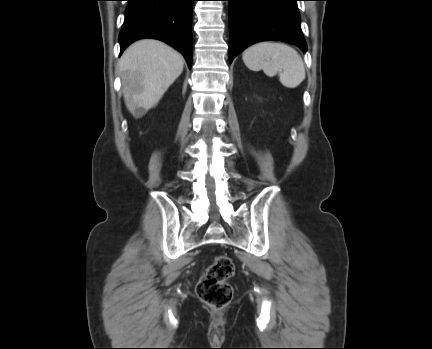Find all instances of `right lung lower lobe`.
<instances>
[{
    "label": "right lung lower lobe",
    "mask_w": 432,
    "mask_h": 349,
    "mask_svg": "<svg viewBox=\"0 0 432 349\" xmlns=\"http://www.w3.org/2000/svg\"><path fill=\"white\" fill-rule=\"evenodd\" d=\"M125 20L119 35L120 54L138 39L166 42L192 62V3L194 0H127Z\"/></svg>",
    "instance_id": "right-lung-lower-lobe-1"
}]
</instances>
